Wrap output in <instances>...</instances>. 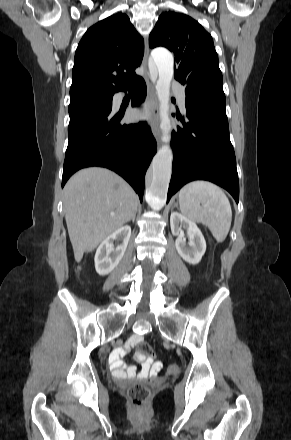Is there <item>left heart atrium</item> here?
<instances>
[{"label": "left heart atrium", "mask_w": 291, "mask_h": 440, "mask_svg": "<svg viewBox=\"0 0 291 440\" xmlns=\"http://www.w3.org/2000/svg\"><path fill=\"white\" fill-rule=\"evenodd\" d=\"M132 116H133V117H137V116H138V113H137V112H133V113H132Z\"/></svg>", "instance_id": "left-heart-atrium-1"}]
</instances>
